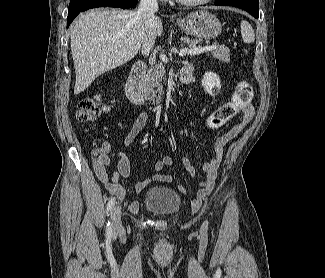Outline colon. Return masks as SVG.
<instances>
[{
  "label": "colon",
  "instance_id": "5ec220e1",
  "mask_svg": "<svg viewBox=\"0 0 325 278\" xmlns=\"http://www.w3.org/2000/svg\"><path fill=\"white\" fill-rule=\"evenodd\" d=\"M253 86L245 80H241L236 84L233 97L231 101L216 109L205 121V130H214L232 117H234L239 110L246 107L253 97ZM108 105L99 98H84L78 104L76 118L82 125H87L93 122L99 115L106 112ZM93 155L100 158L103 155L102 149H94Z\"/></svg>",
  "mask_w": 325,
  "mask_h": 278
}]
</instances>
